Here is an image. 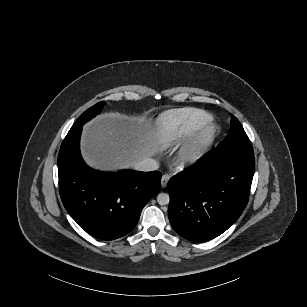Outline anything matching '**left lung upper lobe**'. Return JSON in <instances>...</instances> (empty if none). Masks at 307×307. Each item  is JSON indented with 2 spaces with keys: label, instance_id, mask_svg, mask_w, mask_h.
Returning a JSON list of instances; mask_svg holds the SVG:
<instances>
[{
  "label": "left lung upper lobe",
  "instance_id": "1",
  "mask_svg": "<svg viewBox=\"0 0 307 307\" xmlns=\"http://www.w3.org/2000/svg\"><path fill=\"white\" fill-rule=\"evenodd\" d=\"M215 150H238L253 152L251 142L238 119L233 116L230 121V132Z\"/></svg>",
  "mask_w": 307,
  "mask_h": 307
}]
</instances>
